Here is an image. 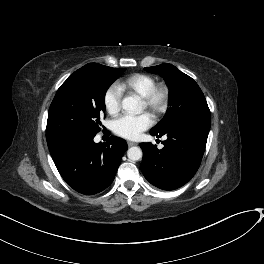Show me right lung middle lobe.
<instances>
[{
	"mask_svg": "<svg viewBox=\"0 0 264 264\" xmlns=\"http://www.w3.org/2000/svg\"><path fill=\"white\" fill-rule=\"evenodd\" d=\"M124 70L89 63L75 71L60 86L49 108L47 142L66 136H95L101 130L106 91Z\"/></svg>",
	"mask_w": 264,
	"mask_h": 264,
	"instance_id": "1",
	"label": "right lung middle lobe"
}]
</instances>
